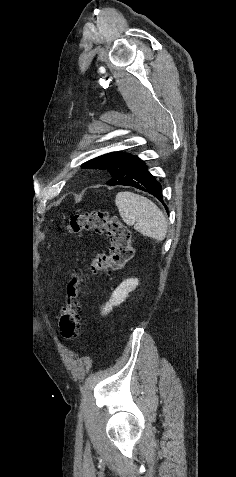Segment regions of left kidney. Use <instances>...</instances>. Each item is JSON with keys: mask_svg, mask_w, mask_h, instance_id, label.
Wrapping results in <instances>:
<instances>
[{"mask_svg": "<svg viewBox=\"0 0 236 477\" xmlns=\"http://www.w3.org/2000/svg\"><path fill=\"white\" fill-rule=\"evenodd\" d=\"M137 278H129L123 281L112 293L110 300L105 304L102 309V314L107 315L112 311L113 306H118L125 301L129 292L136 289L138 285Z\"/></svg>", "mask_w": 236, "mask_h": 477, "instance_id": "1", "label": "left kidney"}]
</instances>
